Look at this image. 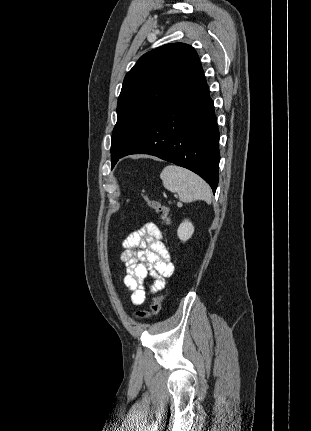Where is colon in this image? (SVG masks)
<instances>
[{
	"label": "colon",
	"instance_id": "1",
	"mask_svg": "<svg viewBox=\"0 0 311 431\" xmlns=\"http://www.w3.org/2000/svg\"><path fill=\"white\" fill-rule=\"evenodd\" d=\"M144 201L146 204L155 210L157 213L161 216V221L163 226H168L170 223V211L169 208L161 203L160 201L150 199L147 196H143ZM161 302L162 297L160 294H154L151 297V305H150V311L149 312H138L137 317L141 318L147 315H157L161 310Z\"/></svg>",
	"mask_w": 311,
	"mask_h": 431
}]
</instances>
